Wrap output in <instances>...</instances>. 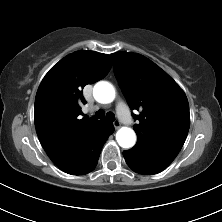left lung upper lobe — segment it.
Instances as JSON below:
<instances>
[{"label":"left lung upper lobe","mask_w":222,"mask_h":222,"mask_svg":"<svg viewBox=\"0 0 222 222\" xmlns=\"http://www.w3.org/2000/svg\"><path fill=\"white\" fill-rule=\"evenodd\" d=\"M119 86L138 124V141L132 148L169 165L181 150L190 127L189 104L184 91L146 57L128 52L110 55Z\"/></svg>","instance_id":"left-lung-upper-lobe-1"}]
</instances>
